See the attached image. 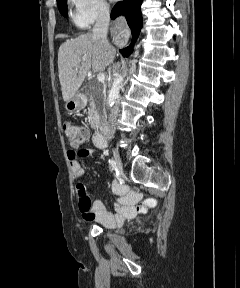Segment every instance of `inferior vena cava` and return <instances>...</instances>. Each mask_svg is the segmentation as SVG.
<instances>
[{
    "instance_id": "inferior-vena-cava-1",
    "label": "inferior vena cava",
    "mask_w": 240,
    "mask_h": 288,
    "mask_svg": "<svg viewBox=\"0 0 240 288\" xmlns=\"http://www.w3.org/2000/svg\"><path fill=\"white\" fill-rule=\"evenodd\" d=\"M109 9L106 6H101L98 11V15L96 18V23L93 27L92 34L94 38L99 39L105 46H110V43L107 40V33H108V27H109ZM119 101L116 100L114 105L111 108V119H115L118 116L119 113ZM114 134V128L112 123L110 122L107 125L106 129V137L107 139H111Z\"/></svg>"
}]
</instances>
